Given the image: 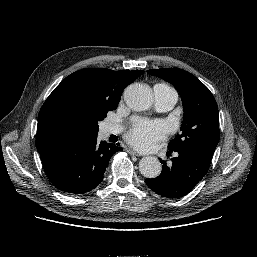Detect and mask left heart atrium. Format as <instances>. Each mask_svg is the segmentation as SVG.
Here are the masks:
<instances>
[{
  "mask_svg": "<svg viewBox=\"0 0 257 257\" xmlns=\"http://www.w3.org/2000/svg\"><path fill=\"white\" fill-rule=\"evenodd\" d=\"M166 133L163 122L134 118L126 134V140L139 150H151L165 139Z\"/></svg>",
  "mask_w": 257,
  "mask_h": 257,
  "instance_id": "left-heart-atrium-1",
  "label": "left heart atrium"
}]
</instances>
